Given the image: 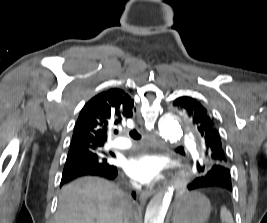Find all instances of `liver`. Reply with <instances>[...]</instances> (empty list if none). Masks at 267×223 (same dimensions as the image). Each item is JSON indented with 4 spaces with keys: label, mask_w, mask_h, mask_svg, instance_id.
I'll return each mask as SVG.
<instances>
[{
    "label": "liver",
    "mask_w": 267,
    "mask_h": 223,
    "mask_svg": "<svg viewBox=\"0 0 267 223\" xmlns=\"http://www.w3.org/2000/svg\"><path fill=\"white\" fill-rule=\"evenodd\" d=\"M127 207L128 198L115 184L85 177L62 188L55 223H123Z\"/></svg>",
    "instance_id": "liver-1"
}]
</instances>
